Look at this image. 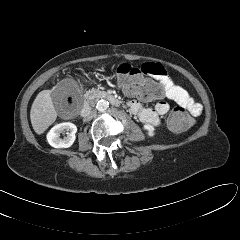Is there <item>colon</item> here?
I'll list each match as a JSON object with an SVG mask.
<instances>
[{
  "instance_id": "obj_1",
  "label": "colon",
  "mask_w": 240,
  "mask_h": 240,
  "mask_svg": "<svg viewBox=\"0 0 240 240\" xmlns=\"http://www.w3.org/2000/svg\"><path fill=\"white\" fill-rule=\"evenodd\" d=\"M119 85L128 95L136 96L144 101L161 99L165 95L164 87L157 81L147 77L139 67L130 64H119L113 67ZM193 124V119L185 108H175L168 117L167 125L171 131L183 132Z\"/></svg>"
}]
</instances>
